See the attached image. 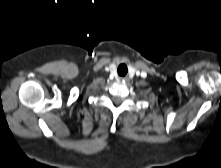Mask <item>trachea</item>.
Segmentation results:
<instances>
[{
	"label": "trachea",
	"mask_w": 221,
	"mask_h": 168,
	"mask_svg": "<svg viewBox=\"0 0 221 168\" xmlns=\"http://www.w3.org/2000/svg\"><path fill=\"white\" fill-rule=\"evenodd\" d=\"M117 71L119 76H125L127 74L128 69L125 64H121L119 65Z\"/></svg>",
	"instance_id": "1"
}]
</instances>
